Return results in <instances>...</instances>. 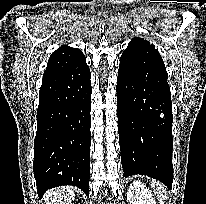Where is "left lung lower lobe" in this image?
I'll use <instances>...</instances> for the list:
<instances>
[{"label":"left lung lower lobe","mask_w":206,"mask_h":204,"mask_svg":"<svg viewBox=\"0 0 206 204\" xmlns=\"http://www.w3.org/2000/svg\"><path fill=\"white\" fill-rule=\"evenodd\" d=\"M133 69L120 58L117 78L118 132L124 177L147 175L171 189L172 103L165 65L154 59Z\"/></svg>","instance_id":"left-lung-lower-lobe-1"}]
</instances>
